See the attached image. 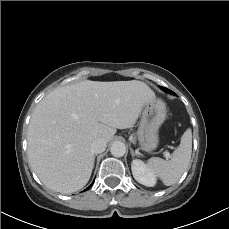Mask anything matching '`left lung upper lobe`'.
Wrapping results in <instances>:
<instances>
[{
	"instance_id": "obj_1",
	"label": "left lung upper lobe",
	"mask_w": 229,
	"mask_h": 229,
	"mask_svg": "<svg viewBox=\"0 0 229 229\" xmlns=\"http://www.w3.org/2000/svg\"><path fill=\"white\" fill-rule=\"evenodd\" d=\"M162 89H164L165 91H168V89H165L164 87H161Z\"/></svg>"
}]
</instances>
